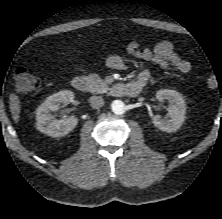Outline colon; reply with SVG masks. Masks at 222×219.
Masks as SVG:
<instances>
[{
    "mask_svg": "<svg viewBox=\"0 0 222 219\" xmlns=\"http://www.w3.org/2000/svg\"><path fill=\"white\" fill-rule=\"evenodd\" d=\"M14 81L16 90L21 93H32L41 88L40 79L32 75L24 67L15 70ZM206 85L209 88H214L218 85V80L214 76H209L206 79Z\"/></svg>",
    "mask_w": 222,
    "mask_h": 219,
    "instance_id": "obj_1",
    "label": "colon"
}]
</instances>
